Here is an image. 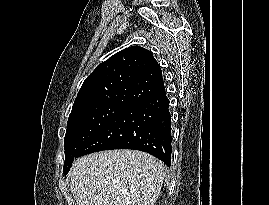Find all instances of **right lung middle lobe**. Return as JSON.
I'll return each instance as SVG.
<instances>
[{"label":"right lung middle lobe","mask_w":269,"mask_h":205,"mask_svg":"<svg viewBox=\"0 0 269 205\" xmlns=\"http://www.w3.org/2000/svg\"><path fill=\"white\" fill-rule=\"evenodd\" d=\"M128 106L121 104H95L71 111L64 139L65 162L63 172L66 175L77 158L80 150L114 116Z\"/></svg>","instance_id":"right-lung-middle-lobe-1"}]
</instances>
